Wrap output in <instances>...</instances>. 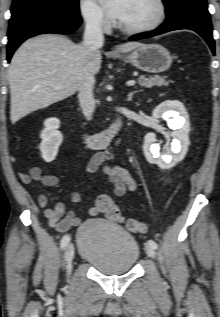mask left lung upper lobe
I'll use <instances>...</instances> for the list:
<instances>
[{
    "instance_id": "obj_1",
    "label": "left lung upper lobe",
    "mask_w": 220,
    "mask_h": 317,
    "mask_svg": "<svg viewBox=\"0 0 220 317\" xmlns=\"http://www.w3.org/2000/svg\"><path fill=\"white\" fill-rule=\"evenodd\" d=\"M166 6V12L173 11L179 4L181 0H163Z\"/></svg>"
}]
</instances>
